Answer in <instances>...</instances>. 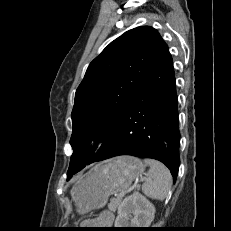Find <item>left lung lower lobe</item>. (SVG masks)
I'll list each match as a JSON object with an SVG mask.
<instances>
[{
	"label": "left lung lower lobe",
	"mask_w": 231,
	"mask_h": 231,
	"mask_svg": "<svg viewBox=\"0 0 231 231\" xmlns=\"http://www.w3.org/2000/svg\"><path fill=\"white\" fill-rule=\"evenodd\" d=\"M177 103L173 61L165 44L87 164L119 155L153 158L164 163L176 178L180 138Z\"/></svg>",
	"instance_id": "left-lung-lower-lobe-1"
}]
</instances>
